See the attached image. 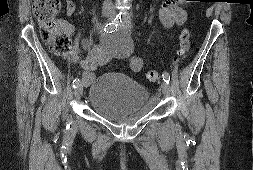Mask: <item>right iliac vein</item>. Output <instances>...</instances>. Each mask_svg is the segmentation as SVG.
I'll list each match as a JSON object with an SVG mask.
<instances>
[{
	"instance_id": "obj_1",
	"label": "right iliac vein",
	"mask_w": 253,
	"mask_h": 170,
	"mask_svg": "<svg viewBox=\"0 0 253 170\" xmlns=\"http://www.w3.org/2000/svg\"><path fill=\"white\" fill-rule=\"evenodd\" d=\"M103 16L108 19V20H111L112 19V15L109 13V12H104L103 13ZM83 86H84V81L82 80L78 85L77 87L75 88L74 90V97L75 99L79 100L81 95H82V92H83Z\"/></svg>"
}]
</instances>
